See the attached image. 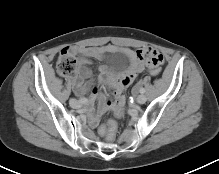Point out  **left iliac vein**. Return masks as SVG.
Instances as JSON below:
<instances>
[{
  "instance_id": "left-iliac-vein-1",
  "label": "left iliac vein",
  "mask_w": 219,
  "mask_h": 174,
  "mask_svg": "<svg viewBox=\"0 0 219 174\" xmlns=\"http://www.w3.org/2000/svg\"><path fill=\"white\" fill-rule=\"evenodd\" d=\"M146 100H147V98L143 94L138 95L137 98H136V102L138 104H144L146 102Z\"/></svg>"
}]
</instances>
